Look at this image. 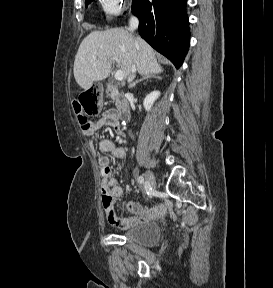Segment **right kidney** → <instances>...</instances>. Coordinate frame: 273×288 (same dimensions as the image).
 <instances>
[{
	"label": "right kidney",
	"instance_id": "1",
	"mask_svg": "<svg viewBox=\"0 0 273 288\" xmlns=\"http://www.w3.org/2000/svg\"><path fill=\"white\" fill-rule=\"evenodd\" d=\"M160 96V92L159 91H153L150 94H148L144 101H143V106L145 108V110L147 112H149L151 110V107L153 106V103L155 102V100Z\"/></svg>",
	"mask_w": 273,
	"mask_h": 288
}]
</instances>
